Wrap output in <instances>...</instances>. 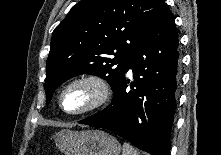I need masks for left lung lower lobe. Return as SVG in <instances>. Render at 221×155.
Returning a JSON list of instances; mask_svg holds the SVG:
<instances>
[{
  "label": "left lung lower lobe",
  "mask_w": 221,
  "mask_h": 155,
  "mask_svg": "<svg viewBox=\"0 0 221 155\" xmlns=\"http://www.w3.org/2000/svg\"><path fill=\"white\" fill-rule=\"evenodd\" d=\"M178 45L175 20L165 3L130 57L126 72L133 71L131 90L124 74L111 104L79 123L106 128L151 155H169L179 82Z\"/></svg>",
  "instance_id": "0a47b994"
}]
</instances>
